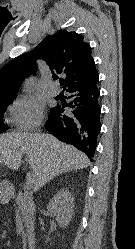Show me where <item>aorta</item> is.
Listing matches in <instances>:
<instances>
[{
	"mask_svg": "<svg viewBox=\"0 0 135 249\" xmlns=\"http://www.w3.org/2000/svg\"><path fill=\"white\" fill-rule=\"evenodd\" d=\"M32 90H33V87H32L31 84L26 85V87H25V93H26L27 95H30L31 92H32Z\"/></svg>",
	"mask_w": 135,
	"mask_h": 249,
	"instance_id": "obj_1",
	"label": "aorta"
}]
</instances>
